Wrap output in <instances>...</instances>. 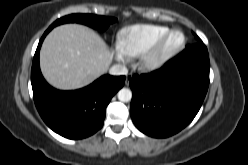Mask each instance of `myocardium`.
<instances>
[{
	"label": "myocardium",
	"mask_w": 248,
	"mask_h": 165,
	"mask_svg": "<svg viewBox=\"0 0 248 165\" xmlns=\"http://www.w3.org/2000/svg\"><path fill=\"white\" fill-rule=\"evenodd\" d=\"M174 34L180 35V41L174 47L163 50V45L166 40ZM184 45L185 36L183 32L177 29H169L159 36L150 47L140 55V65L149 71L160 69L172 60L184 48Z\"/></svg>",
	"instance_id": "myocardium-1"
}]
</instances>
